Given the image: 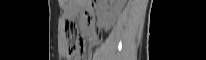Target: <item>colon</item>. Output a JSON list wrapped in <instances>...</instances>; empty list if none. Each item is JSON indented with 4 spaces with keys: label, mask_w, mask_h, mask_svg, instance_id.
<instances>
[{
    "label": "colon",
    "mask_w": 206,
    "mask_h": 60,
    "mask_svg": "<svg viewBox=\"0 0 206 60\" xmlns=\"http://www.w3.org/2000/svg\"><path fill=\"white\" fill-rule=\"evenodd\" d=\"M65 31L68 43L67 56L69 60H73L82 47L78 38L77 25L74 22H67Z\"/></svg>",
    "instance_id": "5ec220e1"
}]
</instances>
